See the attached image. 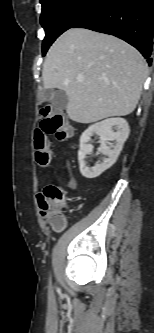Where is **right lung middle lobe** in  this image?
<instances>
[{
  "label": "right lung middle lobe",
  "mask_w": 154,
  "mask_h": 333,
  "mask_svg": "<svg viewBox=\"0 0 154 333\" xmlns=\"http://www.w3.org/2000/svg\"><path fill=\"white\" fill-rule=\"evenodd\" d=\"M99 0H40L41 25L45 30L42 52L64 31L88 14Z\"/></svg>",
  "instance_id": "1"
}]
</instances>
